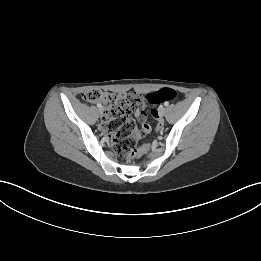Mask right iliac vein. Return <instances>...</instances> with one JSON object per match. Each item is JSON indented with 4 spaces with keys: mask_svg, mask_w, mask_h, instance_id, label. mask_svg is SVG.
Masks as SVG:
<instances>
[{
    "mask_svg": "<svg viewBox=\"0 0 261 261\" xmlns=\"http://www.w3.org/2000/svg\"><path fill=\"white\" fill-rule=\"evenodd\" d=\"M99 112H100V114H103L104 109H103V108H100V109H99Z\"/></svg>",
    "mask_w": 261,
    "mask_h": 261,
    "instance_id": "obj_1",
    "label": "right iliac vein"
}]
</instances>
